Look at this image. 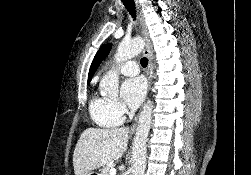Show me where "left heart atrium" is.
Listing matches in <instances>:
<instances>
[{"label": "left heart atrium", "mask_w": 251, "mask_h": 175, "mask_svg": "<svg viewBox=\"0 0 251 175\" xmlns=\"http://www.w3.org/2000/svg\"><path fill=\"white\" fill-rule=\"evenodd\" d=\"M145 93V81L140 76H132L127 78L121 87L123 102L130 109H135L140 105Z\"/></svg>", "instance_id": "left-heart-atrium-1"}]
</instances>
